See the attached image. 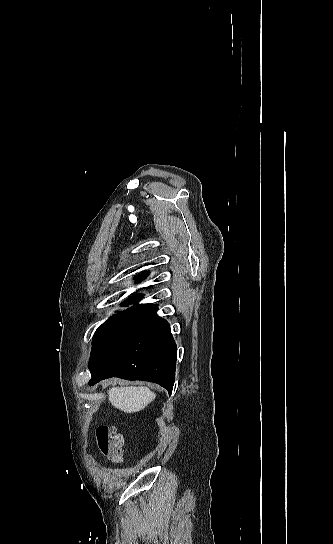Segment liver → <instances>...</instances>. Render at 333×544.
Returning <instances> with one entry per match:
<instances>
[{
  "instance_id": "liver-1",
  "label": "liver",
  "mask_w": 333,
  "mask_h": 544,
  "mask_svg": "<svg viewBox=\"0 0 333 544\" xmlns=\"http://www.w3.org/2000/svg\"><path fill=\"white\" fill-rule=\"evenodd\" d=\"M154 398L147 387H113L108 391L109 402L125 413H135L143 409Z\"/></svg>"
}]
</instances>
